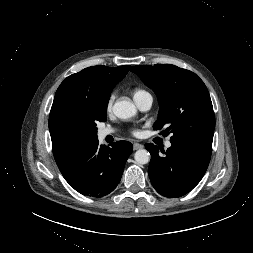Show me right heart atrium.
Instances as JSON below:
<instances>
[{
	"label": "right heart atrium",
	"instance_id": "obj_1",
	"mask_svg": "<svg viewBox=\"0 0 253 253\" xmlns=\"http://www.w3.org/2000/svg\"><path fill=\"white\" fill-rule=\"evenodd\" d=\"M114 99H115V95H114V94H111V95L109 96L108 101H107V104H106V109H107V111H111L112 106H113Z\"/></svg>",
	"mask_w": 253,
	"mask_h": 253
}]
</instances>
